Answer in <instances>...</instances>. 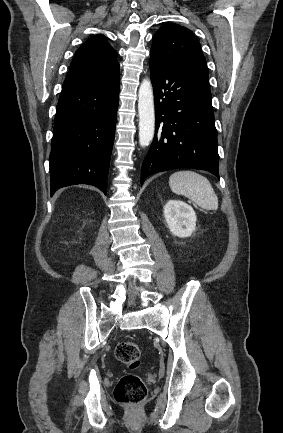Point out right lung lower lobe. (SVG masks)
<instances>
[{"label":"right lung lower lobe","instance_id":"right-lung-lower-lobe-1","mask_svg":"<svg viewBox=\"0 0 283 433\" xmlns=\"http://www.w3.org/2000/svg\"><path fill=\"white\" fill-rule=\"evenodd\" d=\"M120 77L61 92L50 153L51 195L61 187L89 184L107 190L115 136Z\"/></svg>","mask_w":283,"mask_h":433}]
</instances>
